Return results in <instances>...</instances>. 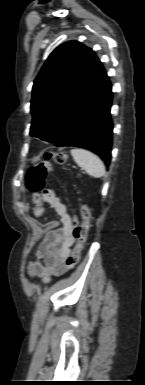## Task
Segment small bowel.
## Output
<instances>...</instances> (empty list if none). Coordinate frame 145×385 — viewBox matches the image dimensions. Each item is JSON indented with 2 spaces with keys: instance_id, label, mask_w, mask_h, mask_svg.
<instances>
[{
  "instance_id": "obj_1",
  "label": "small bowel",
  "mask_w": 145,
  "mask_h": 385,
  "mask_svg": "<svg viewBox=\"0 0 145 385\" xmlns=\"http://www.w3.org/2000/svg\"><path fill=\"white\" fill-rule=\"evenodd\" d=\"M45 204L55 210L59 221H48L45 224L47 232L36 251L35 259L28 262L27 271L31 278H40L46 283L52 277L61 276L72 268L68 259L72 254L71 247L75 240L72 229L77 223V218L68 212L52 189L44 190L39 196V201L33 209L35 217L44 214Z\"/></svg>"
}]
</instances>
